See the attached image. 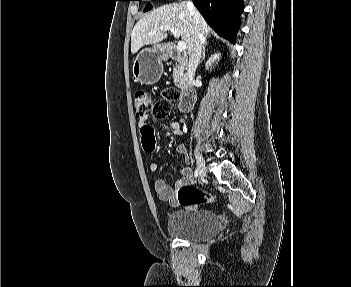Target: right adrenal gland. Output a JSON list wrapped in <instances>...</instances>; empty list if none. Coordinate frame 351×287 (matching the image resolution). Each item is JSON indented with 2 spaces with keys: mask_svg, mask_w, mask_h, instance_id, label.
I'll use <instances>...</instances> for the list:
<instances>
[{
  "mask_svg": "<svg viewBox=\"0 0 351 287\" xmlns=\"http://www.w3.org/2000/svg\"><path fill=\"white\" fill-rule=\"evenodd\" d=\"M206 46H207V42L205 43V45L203 47V53H202L201 60H200L199 63H201L205 59Z\"/></svg>",
  "mask_w": 351,
  "mask_h": 287,
  "instance_id": "obj_1",
  "label": "right adrenal gland"
}]
</instances>
